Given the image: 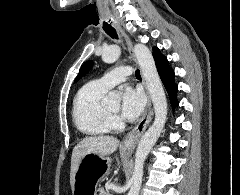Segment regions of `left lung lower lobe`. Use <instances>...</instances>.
Masks as SVG:
<instances>
[{
  "mask_svg": "<svg viewBox=\"0 0 240 195\" xmlns=\"http://www.w3.org/2000/svg\"><path fill=\"white\" fill-rule=\"evenodd\" d=\"M155 64H156L159 76L164 84V87L168 92L171 106L174 109L175 107L178 106V100H177L178 87L174 82V78H175L174 71L171 69L167 58L164 56L160 57L159 59H156Z\"/></svg>",
  "mask_w": 240,
  "mask_h": 195,
  "instance_id": "left-lung-lower-lobe-1",
  "label": "left lung lower lobe"
}]
</instances>
